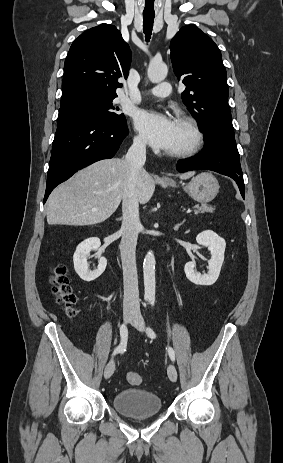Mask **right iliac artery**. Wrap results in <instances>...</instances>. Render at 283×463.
Instances as JSON below:
<instances>
[{
    "instance_id": "1",
    "label": "right iliac artery",
    "mask_w": 283,
    "mask_h": 463,
    "mask_svg": "<svg viewBox=\"0 0 283 463\" xmlns=\"http://www.w3.org/2000/svg\"><path fill=\"white\" fill-rule=\"evenodd\" d=\"M120 336H121V343L119 346L114 350L113 355L123 352L127 346V339H128V330L125 324H122L120 327Z\"/></svg>"
}]
</instances>
